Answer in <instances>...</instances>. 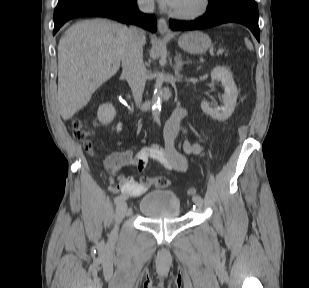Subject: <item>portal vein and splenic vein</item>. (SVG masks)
Here are the masks:
<instances>
[{
    "label": "portal vein and splenic vein",
    "instance_id": "1",
    "mask_svg": "<svg viewBox=\"0 0 309 288\" xmlns=\"http://www.w3.org/2000/svg\"><path fill=\"white\" fill-rule=\"evenodd\" d=\"M223 52H224V49H219V50L215 53V55H221Z\"/></svg>",
    "mask_w": 309,
    "mask_h": 288
}]
</instances>
